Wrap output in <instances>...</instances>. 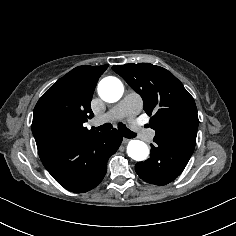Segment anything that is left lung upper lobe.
Masks as SVG:
<instances>
[{
  "label": "left lung upper lobe",
  "instance_id": "1",
  "mask_svg": "<svg viewBox=\"0 0 236 236\" xmlns=\"http://www.w3.org/2000/svg\"><path fill=\"white\" fill-rule=\"evenodd\" d=\"M118 73L144 102L154 139L168 141L194 150L198 129L197 108L193 97L168 70L150 63L115 65Z\"/></svg>",
  "mask_w": 236,
  "mask_h": 236
}]
</instances>
